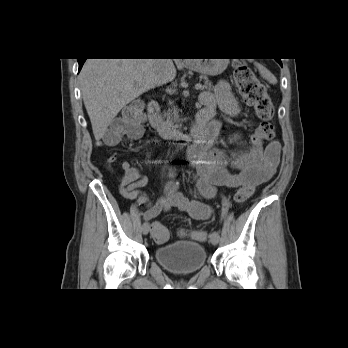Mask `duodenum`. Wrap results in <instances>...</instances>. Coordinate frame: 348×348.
I'll use <instances>...</instances> for the list:
<instances>
[{"label":"duodenum","mask_w":348,"mask_h":348,"mask_svg":"<svg viewBox=\"0 0 348 348\" xmlns=\"http://www.w3.org/2000/svg\"><path fill=\"white\" fill-rule=\"evenodd\" d=\"M147 113L150 125L164 138L192 142V147L205 149L214 137L210 128L214 108L203 107L197 115V123L189 132L179 131L165 122L156 100L148 103Z\"/></svg>","instance_id":"410a0bca"}]
</instances>
